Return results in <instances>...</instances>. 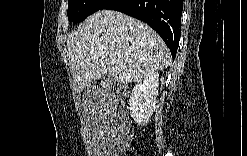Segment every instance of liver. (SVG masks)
Returning <instances> with one entry per match:
<instances>
[{"instance_id":"1","label":"liver","mask_w":247,"mask_h":156,"mask_svg":"<svg viewBox=\"0 0 247 156\" xmlns=\"http://www.w3.org/2000/svg\"><path fill=\"white\" fill-rule=\"evenodd\" d=\"M67 55L79 90L106 75L122 84L138 82L171 63L169 49L153 29L113 10L94 13L70 33Z\"/></svg>"}]
</instances>
